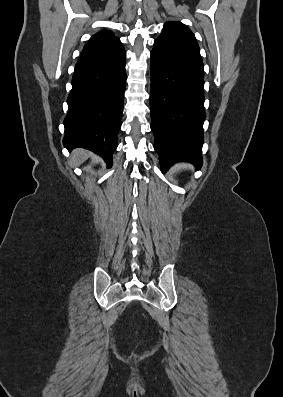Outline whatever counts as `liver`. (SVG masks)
<instances>
[{
	"label": "liver",
	"mask_w": 283,
	"mask_h": 397,
	"mask_svg": "<svg viewBox=\"0 0 283 397\" xmlns=\"http://www.w3.org/2000/svg\"><path fill=\"white\" fill-rule=\"evenodd\" d=\"M90 156V152L84 149H75L71 155V164L72 166H79L84 161L88 159Z\"/></svg>",
	"instance_id": "obj_1"
}]
</instances>
